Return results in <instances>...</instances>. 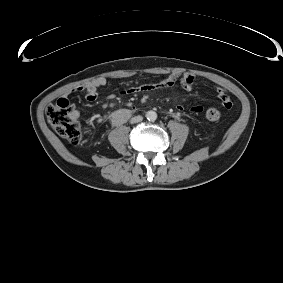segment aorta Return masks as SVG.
Here are the masks:
<instances>
[{"label":"aorta","instance_id":"1","mask_svg":"<svg viewBox=\"0 0 283 283\" xmlns=\"http://www.w3.org/2000/svg\"><path fill=\"white\" fill-rule=\"evenodd\" d=\"M145 116L149 121L152 122L157 119V113L155 111H148Z\"/></svg>","mask_w":283,"mask_h":283}]
</instances>
